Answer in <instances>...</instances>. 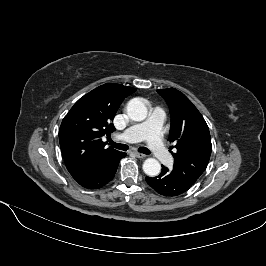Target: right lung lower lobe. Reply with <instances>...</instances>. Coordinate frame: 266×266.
<instances>
[{
	"label": "right lung lower lobe",
	"mask_w": 266,
	"mask_h": 266,
	"mask_svg": "<svg viewBox=\"0 0 266 266\" xmlns=\"http://www.w3.org/2000/svg\"><path fill=\"white\" fill-rule=\"evenodd\" d=\"M125 156L126 153L118 152L116 155L110 157L102 165L96 168L89 175L76 181L87 189L101 188L114 178L119 161Z\"/></svg>",
	"instance_id": "1"
}]
</instances>
